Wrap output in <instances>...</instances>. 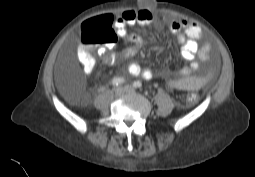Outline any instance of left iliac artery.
Listing matches in <instances>:
<instances>
[{
	"label": "left iliac artery",
	"instance_id": "1",
	"mask_svg": "<svg viewBox=\"0 0 255 177\" xmlns=\"http://www.w3.org/2000/svg\"><path fill=\"white\" fill-rule=\"evenodd\" d=\"M133 86H134L135 88H141V87H142V84H141L140 81H135L134 84H133Z\"/></svg>",
	"mask_w": 255,
	"mask_h": 177
}]
</instances>
